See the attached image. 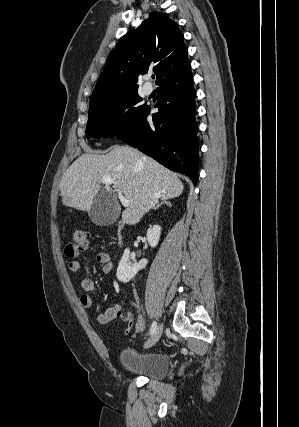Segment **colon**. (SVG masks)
Wrapping results in <instances>:
<instances>
[{
  "label": "colon",
  "mask_w": 299,
  "mask_h": 427,
  "mask_svg": "<svg viewBox=\"0 0 299 427\" xmlns=\"http://www.w3.org/2000/svg\"><path fill=\"white\" fill-rule=\"evenodd\" d=\"M88 247V234L85 229H76L70 235L69 242L66 246V254L69 257H75L79 253L85 251ZM134 317L128 316L126 318L127 323H132Z\"/></svg>",
  "instance_id": "1"
}]
</instances>
